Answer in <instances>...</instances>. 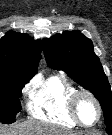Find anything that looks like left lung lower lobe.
<instances>
[{
	"mask_svg": "<svg viewBox=\"0 0 112 135\" xmlns=\"http://www.w3.org/2000/svg\"><path fill=\"white\" fill-rule=\"evenodd\" d=\"M107 131H108L109 135H112V128L111 127L107 128Z\"/></svg>",
	"mask_w": 112,
	"mask_h": 135,
	"instance_id": "1",
	"label": "left lung lower lobe"
}]
</instances>
